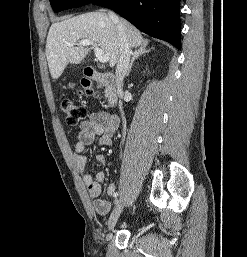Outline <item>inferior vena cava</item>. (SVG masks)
<instances>
[{"label": "inferior vena cava", "instance_id": "obj_1", "mask_svg": "<svg viewBox=\"0 0 247 257\" xmlns=\"http://www.w3.org/2000/svg\"><path fill=\"white\" fill-rule=\"evenodd\" d=\"M108 15L111 18V20L117 25L118 34L120 37V57L116 66V77H117L118 94L123 95V91H122L123 79L129 68V61H130V56L132 52L130 50V45L127 40V36H126L125 29L122 22L114 12L109 11Z\"/></svg>", "mask_w": 247, "mask_h": 257}]
</instances>
